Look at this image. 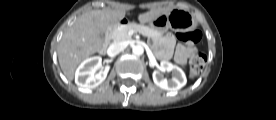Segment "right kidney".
Returning <instances> with one entry per match:
<instances>
[{
    "mask_svg": "<svg viewBox=\"0 0 276 120\" xmlns=\"http://www.w3.org/2000/svg\"><path fill=\"white\" fill-rule=\"evenodd\" d=\"M101 67V57L94 56L85 59L75 72V83L83 89H93L100 85L107 77L109 66L95 74Z\"/></svg>",
    "mask_w": 276,
    "mask_h": 120,
    "instance_id": "ca27d5eb",
    "label": "right kidney"
}]
</instances>
